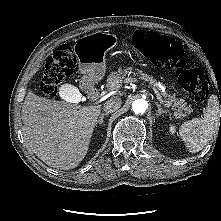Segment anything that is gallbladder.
Here are the masks:
<instances>
[{"label":"gallbladder","instance_id":"bac80fb5","mask_svg":"<svg viewBox=\"0 0 221 221\" xmlns=\"http://www.w3.org/2000/svg\"><path fill=\"white\" fill-rule=\"evenodd\" d=\"M58 94L61 98L67 99V101L74 106H79L84 101L83 94L74 89L70 84L61 85L58 89Z\"/></svg>","mask_w":221,"mask_h":221}]
</instances>
